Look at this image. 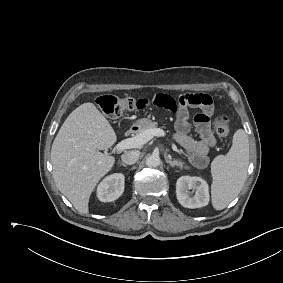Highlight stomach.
<instances>
[{"label":"stomach","instance_id":"stomach-1","mask_svg":"<svg viewBox=\"0 0 283 283\" xmlns=\"http://www.w3.org/2000/svg\"><path fill=\"white\" fill-rule=\"evenodd\" d=\"M151 122L150 119L148 118H142L137 120L134 124L133 127L137 128L138 131L144 129L145 127H147L149 125V123Z\"/></svg>","mask_w":283,"mask_h":283}]
</instances>
